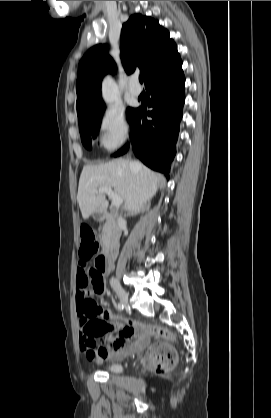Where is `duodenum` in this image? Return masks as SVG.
I'll use <instances>...</instances> for the list:
<instances>
[{"label": "duodenum", "mask_w": 271, "mask_h": 418, "mask_svg": "<svg viewBox=\"0 0 271 418\" xmlns=\"http://www.w3.org/2000/svg\"><path fill=\"white\" fill-rule=\"evenodd\" d=\"M95 218L98 221L107 222L104 248L96 260L97 267L102 268V274H105L109 271L116 258L119 246V237L123 227L117 222L116 215L114 213L97 212Z\"/></svg>", "instance_id": "obj_1"}]
</instances>
